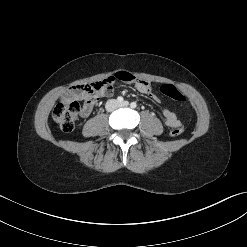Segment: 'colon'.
<instances>
[{
	"instance_id": "5ec220e1",
	"label": "colon",
	"mask_w": 247,
	"mask_h": 247,
	"mask_svg": "<svg viewBox=\"0 0 247 247\" xmlns=\"http://www.w3.org/2000/svg\"><path fill=\"white\" fill-rule=\"evenodd\" d=\"M113 81L114 79L110 77L101 81L77 86L69 96L63 99L54 108L52 113L54 121L64 132L73 131L80 113V105L75 99V92L82 93L86 101L94 103L102 92L113 87ZM158 89L163 95L176 102L185 101V96L174 85L162 84L159 85ZM182 133V127H176L171 131L173 136H179Z\"/></svg>"
}]
</instances>
